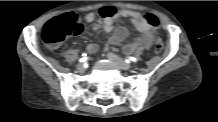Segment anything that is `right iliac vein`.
Masks as SVG:
<instances>
[{
  "mask_svg": "<svg viewBox=\"0 0 218 122\" xmlns=\"http://www.w3.org/2000/svg\"><path fill=\"white\" fill-rule=\"evenodd\" d=\"M76 68H77V70H79V71H83V70H84V65L81 64V63H79V64L76 65Z\"/></svg>",
  "mask_w": 218,
  "mask_h": 122,
  "instance_id": "right-iliac-vein-1",
  "label": "right iliac vein"
}]
</instances>
